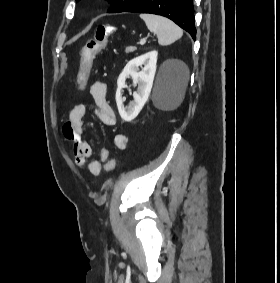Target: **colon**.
Instances as JSON below:
<instances>
[{"label": "colon", "instance_id": "1", "mask_svg": "<svg viewBox=\"0 0 280 283\" xmlns=\"http://www.w3.org/2000/svg\"><path fill=\"white\" fill-rule=\"evenodd\" d=\"M115 30L113 26L100 25L97 27L94 37L87 41L81 51V69L78 73V82L76 89H85L91 70H86L92 63L96 54L104 49L108 36ZM75 95H84V90H75ZM115 160L110 159L107 162V170L113 171Z\"/></svg>", "mask_w": 280, "mask_h": 283}]
</instances>
